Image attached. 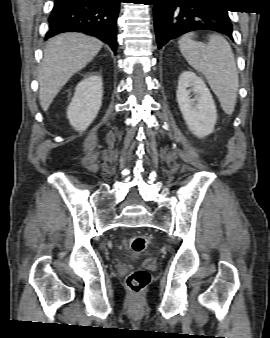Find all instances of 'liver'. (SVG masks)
Listing matches in <instances>:
<instances>
[{
    "mask_svg": "<svg viewBox=\"0 0 270 338\" xmlns=\"http://www.w3.org/2000/svg\"><path fill=\"white\" fill-rule=\"evenodd\" d=\"M103 43L81 33H64L51 38L39 68V101L47 111L67 81L83 69L100 51Z\"/></svg>",
    "mask_w": 270,
    "mask_h": 338,
    "instance_id": "6515ba94",
    "label": "liver"
}]
</instances>
